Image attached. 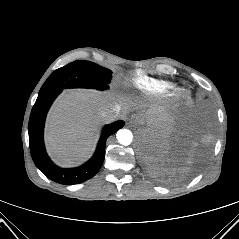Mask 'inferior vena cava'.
<instances>
[{
    "label": "inferior vena cava",
    "mask_w": 239,
    "mask_h": 239,
    "mask_svg": "<svg viewBox=\"0 0 239 239\" xmlns=\"http://www.w3.org/2000/svg\"><path fill=\"white\" fill-rule=\"evenodd\" d=\"M119 115L120 109L118 107L105 110L101 113V117L107 122L117 119Z\"/></svg>",
    "instance_id": "1"
}]
</instances>
